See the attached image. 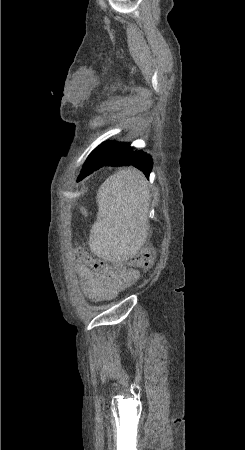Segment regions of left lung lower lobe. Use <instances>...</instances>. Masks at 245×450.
<instances>
[{
    "label": "left lung lower lobe",
    "mask_w": 245,
    "mask_h": 450,
    "mask_svg": "<svg viewBox=\"0 0 245 450\" xmlns=\"http://www.w3.org/2000/svg\"><path fill=\"white\" fill-rule=\"evenodd\" d=\"M95 151L98 154V162L84 172H81L77 181L82 180L102 166L133 165L140 169L147 178L152 170V159L150 155L141 150H135L130 145L124 144L117 148L101 147L95 149Z\"/></svg>",
    "instance_id": "1"
}]
</instances>
